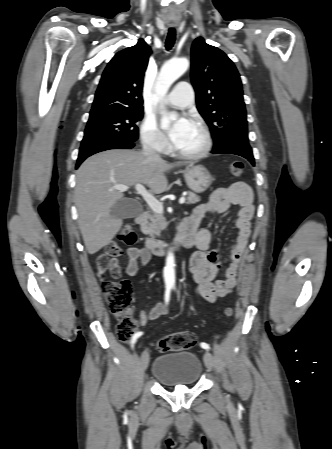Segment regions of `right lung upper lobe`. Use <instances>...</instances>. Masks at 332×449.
<instances>
[{
    "label": "right lung upper lobe",
    "instance_id": "1",
    "mask_svg": "<svg viewBox=\"0 0 332 449\" xmlns=\"http://www.w3.org/2000/svg\"><path fill=\"white\" fill-rule=\"evenodd\" d=\"M150 53L142 39L118 52L103 72L90 113L143 109V78Z\"/></svg>",
    "mask_w": 332,
    "mask_h": 449
}]
</instances>
